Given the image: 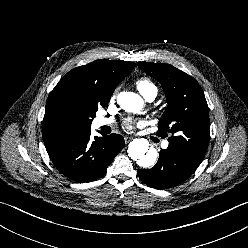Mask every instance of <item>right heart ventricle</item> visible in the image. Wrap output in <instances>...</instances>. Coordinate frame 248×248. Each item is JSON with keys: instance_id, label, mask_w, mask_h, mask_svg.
<instances>
[{"instance_id": "1", "label": "right heart ventricle", "mask_w": 248, "mask_h": 248, "mask_svg": "<svg viewBox=\"0 0 248 248\" xmlns=\"http://www.w3.org/2000/svg\"><path fill=\"white\" fill-rule=\"evenodd\" d=\"M137 90L143 95L146 96L153 90H157L156 86L147 78H140L135 82Z\"/></svg>"}]
</instances>
